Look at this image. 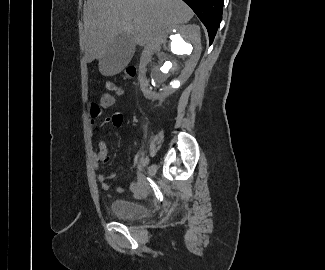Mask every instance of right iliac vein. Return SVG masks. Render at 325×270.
I'll return each mask as SVG.
<instances>
[{
	"label": "right iliac vein",
	"instance_id": "right-iliac-vein-1",
	"mask_svg": "<svg viewBox=\"0 0 325 270\" xmlns=\"http://www.w3.org/2000/svg\"><path fill=\"white\" fill-rule=\"evenodd\" d=\"M156 170H157L156 165L153 164V165L149 166V168H148L149 176H153L156 173Z\"/></svg>",
	"mask_w": 325,
	"mask_h": 270
}]
</instances>
